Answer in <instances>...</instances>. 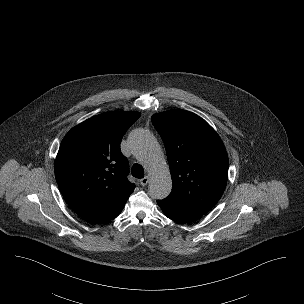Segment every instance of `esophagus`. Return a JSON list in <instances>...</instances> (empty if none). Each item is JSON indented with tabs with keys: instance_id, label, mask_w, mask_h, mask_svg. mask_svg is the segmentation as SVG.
I'll list each match as a JSON object with an SVG mask.
<instances>
[{
	"instance_id": "esophagus-1",
	"label": "esophagus",
	"mask_w": 304,
	"mask_h": 304,
	"mask_svg": "<svg viewBox=\"0 0 304 304\" xmlns=\"http://www.w3.org/2000/svg\"><path fill=\"white\" fill-rule=\"evenodd\" d=\"M148 182H149V176H145L144 178H142V179L140 180V184H141L142 186L147 185Z\"/></svg>"
}]
</instances>
